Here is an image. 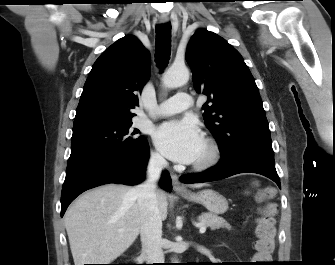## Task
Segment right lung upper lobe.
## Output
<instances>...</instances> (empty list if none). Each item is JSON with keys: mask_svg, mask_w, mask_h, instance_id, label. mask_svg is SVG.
<instances>
[{"mask_svg": "<svg viewBox=\"0 0 335 265\" xmlns=\"http://www.w3.org/2000/svg\"><path fill=\"white\" fill-rule=\"evenodd\" d=\"M150 76V54L135 36H125L95 61L76 109L74 127L129 121L138 93Z\"/></svg>", "mask_w": 335, "mask_h": 265, "instance_id": "right-lung-upper-lobe-1", "label": "right lung upper lobe"}]
</instances>
